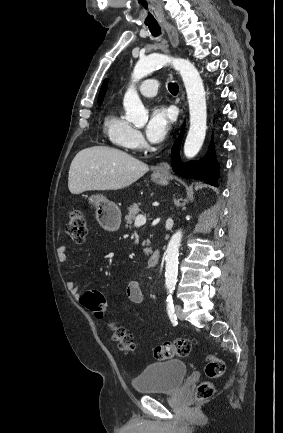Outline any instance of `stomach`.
<instances>
[{"instance_id": "1", "label": "stomach", "mask_w": 283, "mask_h": 433, "mask_svg": "<svg viewBox=\"0 0 283 433\" xmlns=\"http://www.w3.org/2000/svg\"><path fill=\"white\" fill-rule=\"evenodd\" d=\"M151 180L158 184H168L167 174L156 170L151 174ZM89 202L96 206L97 221H101L103 225H108L113 231H117L121 223V210L115 202L108 200L103 194H92L89 196Z\"/></svg>"}]
</instances>
